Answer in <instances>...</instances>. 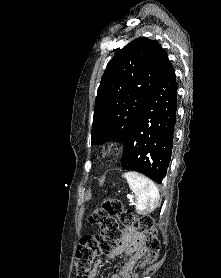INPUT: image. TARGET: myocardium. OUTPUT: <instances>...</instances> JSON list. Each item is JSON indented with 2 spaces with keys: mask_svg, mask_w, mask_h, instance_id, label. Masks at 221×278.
Listing matches in <instances>:
<instances>
[{
  "mask_svg": "<svg viewBox=\"0 0 221 278\" xmlns=\"http://www.w3.org/2000/svg\"><path fill=\"white\" fill-rule=\"evenodd\" d=\"M117 154V146L113 142H106L99 148V157L103 161L112 160Z\"/></svg>",
  "mask_w": 221,
  "mask_h": 278,
  "instance_id": "1",
  "label": "myocardium"
}]
</instances>
